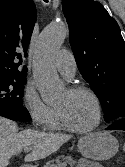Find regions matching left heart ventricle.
Masks as SVG:
<instances>
[{"label":"left heart ventricle","instance_id":"1","mask_svg":"<svg viewBox=\"0 0 125 167\" xmlns=\"http://www.w3.org/2000/svg\"><path fill=\"white\" fill-rule=\"evenodd\" d=\"M67 115L69 121L77 128H88L97 120V108L93 99L85 94L71 95L67 90L56 102Z\"/></svg>","mask_w":125,"mask_h":167}]
</instances>
